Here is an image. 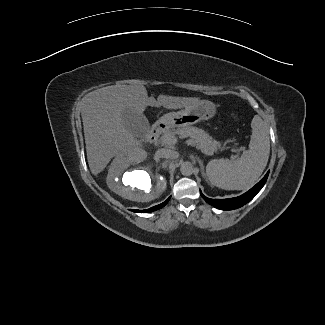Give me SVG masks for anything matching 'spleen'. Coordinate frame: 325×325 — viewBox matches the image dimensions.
I'll use <instances>...</instances> for the list:
<instances>
[{"instance_id":"3e777b00","label":"spleen","mask_w":325,"mask_h":325,"mask_svg":"<svg viewBox=\"0 0 325 325\" xmlns=\"http://www.w3.org/2000/svg\"><path fill=\"white\" fill-rule=\"evenodd\" d=\"M251 128L249 149L240 159H214L207 164L206 173L212 185L225 190H243L259 179L269 159V132L258 115L253 117Z\"/></svg>"}]
</instances>
